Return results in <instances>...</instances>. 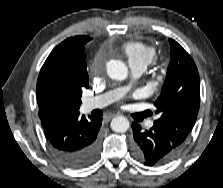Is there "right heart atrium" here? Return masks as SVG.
Listing matches in <instances>:
<instances>
[{
  "label": "right heart atrium",
  "mask_w": 223,
  "mask_h": 188,
  "mask_svg": "<svg viewBox=\"0 0 223 188\" xmlns=\"http://www.w3.org/2000/svg\"><path fill=\"white\" fill-rule=\"evenodd\" d=\"M100 65V57H97L94 62V67H98Z\"/></svg>",
  "instance_id": "right-heart-atrium-1"
}]
</instances>
